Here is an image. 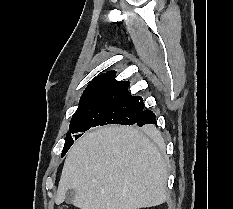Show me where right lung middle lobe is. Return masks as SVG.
Returning <instances> with one entry per match:
<instances>
[{
  "mask_svg": "<svg viewBox=\"0 0 233 209\" xmlns=\"http://www.w3.org/2000/svg\"><path fill=\"white\" fill-rule=\"evenodd\" d=\"M144 110L143 103L102 102L78 107L74 113L70 132L66 134L62 157L83 132L91 127L107 124L133 125ZM148 130V127H145Z\"/></svg>",
  "mask_w": 233,
  "mask_h": 209,
  "instance_id": "right-lung-middle-lobe-1",
  "label": "right lung middle lobe"
}]
</instances>
